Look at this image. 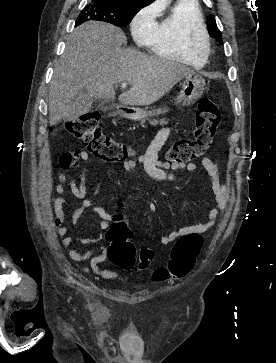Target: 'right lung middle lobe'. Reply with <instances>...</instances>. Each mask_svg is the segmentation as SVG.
I'll list each match as a JSON object with an SVG mask.
<instances>
[{
	"label": "right lung middle lobe",
	"mask_w": 276,
	"mask_h": 363,
	"mask_svg": "<svg viewBox=\"0 0 276 363\" xmlns=\"http://www.w3.org/2000/svg\"><path fill=\"white\" fill-rule=\"evenodd\" d=\"M141 7H143L141 4L120 3L110 0H91L79 14L76 26L87 21L96 20L124 27L131 22Z\"/></svg>",
	"instance_id": "1"
}]
</instances>
